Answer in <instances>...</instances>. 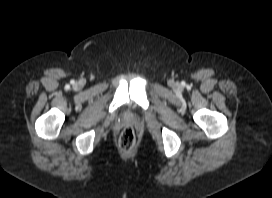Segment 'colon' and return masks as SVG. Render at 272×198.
Masks as SVG:
<instances>
[{"label":"colon","mask_w":272,"mask_h":198,"mask_svg":"<svg viewBox=\"0 0 272 198\" xmlns=\"http://www.w3.org/2000/svg\"><path fill=\"white\" fill-rule=\"evenodd\" d=\"M136 137L132 127H125L119 136V145L122 150L128 151L135 145Z\"/></svg>","instance_id":"colon-1"}]
</instances>
